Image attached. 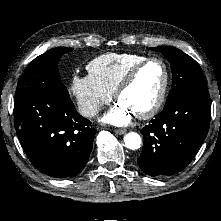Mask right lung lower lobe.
Returning a JSON list of instances; mask_svg holds the SVG:
<instances>
[{
	"label": "right lung lower lobe",
	"instance_id": "1",
	"mask_svg": "<svg viewBox=\"0 0 221 221\" xmlns=\"http://www.w3.org/2000/svg\"><path fill=\"white\" fill-rule=\"evenodd\" d=\"M17 136L31 163L42 173L67 178L85 167L96 129L80 116L70 97L36 93L14 103Z\"/></svg>",
	"mask_w": 221,
	"mask_h": 221
}]
</instances>
